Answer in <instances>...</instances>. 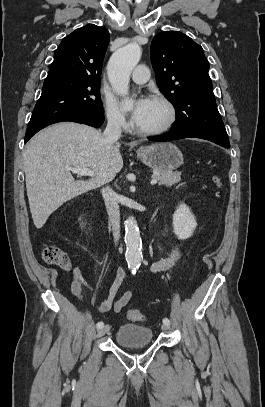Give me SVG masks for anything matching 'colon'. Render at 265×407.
<instances>
[{
    "mask_svg": "<svg viewBox=\"0 0 265 407\" xmlns=\"http://www.w3.org/2000/svg\"><path fill=\"white\" fill-rule=\"evenodd\" d=\"M212 181L218 189L222 187L221 179L218 176H213ZM41 257L47 264L62 269H68L71 266L68 255L55 245H45L41 250ZM127 318L131 321H144L146 319L137 309H130L127 313Z\"/></svg>",
    "mask_w": 265,
    "mask_h": 407,
    "instance_id": "obj_1",
    "label": "colon"
}]
</instances>
